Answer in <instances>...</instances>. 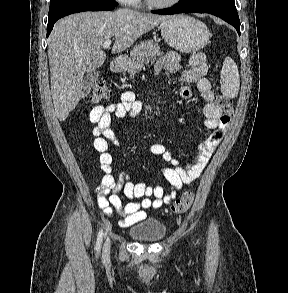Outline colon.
I'll return each mask as SVG.
<instances>
[{"mask_svg":"<svg viewBox=\"0 0 288 293\" xmlns=\"http://www.w3.org/2000/svg\"><path fill=\"white\" fill-rule=\"evenodd\" d=\"M111 95L110 88L101 80L94 83L90 95V99L93 103H98L102 100L109 98ZM217 102L224 112V115L229 118L232 113V103L230 99L223 95H218L216 97ZM194 201V192L188 190L182 194V196L175 201L168 209H166V214H182L185 213L192 205Z\"/></svg>","mask_w":288,"mask_h":293,"instance_id":"5ec220e1","label":"colon"}]
</instances>
